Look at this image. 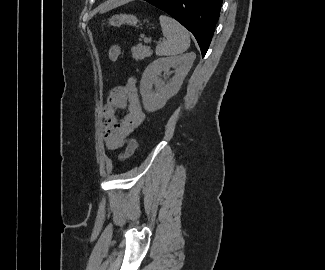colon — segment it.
Segmentation results:
<instances>
[{
    "label": "colon",
    "instance_id": "5ec220e1",
    "mask_svg": "<svg viewBox=\"0 0 325 270\" xmlns=\"http://www.w3.org/2000/svg\"><path fill=\"white\" fill-rule=\"evenodd\" d=\"M120 55H121V48L118 45H113L110 47L109 59L111 61L118 60ZM136 148H137V141L136 139L132 138L131 140H129L125 151L122 154H120L119 156L120 160H125L129 158L135 152Z\"/></svg>",
    "mask_w": 325,
    "mask_h": 270
}]
</instances>
